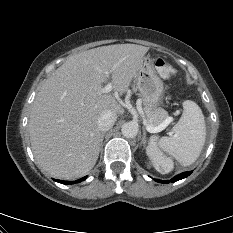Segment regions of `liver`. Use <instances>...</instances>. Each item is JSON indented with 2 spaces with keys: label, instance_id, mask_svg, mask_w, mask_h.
Listing matches in <instances>:
<instances>
[{
  "label": "liver",
  "instance_id": "liver-1",
  "mask_svg": "<svg viewBox=\"0 0 233 233\" xmlns=\"http://www.w3.org/2000/svg\"><path fill=\"white\" fill-rule=\"evenodd\" d=\"M148 50L136 44L90 49L70 56L45 81L28 126L33 154L46 172L72 180L94 167L101 145L99 116L104 110L124 113L115 97L102 92L106 72L115 93H125Z\"/></svg>",
  "mask_w": 233,
  "mask_h": 233
}]
</instances>
